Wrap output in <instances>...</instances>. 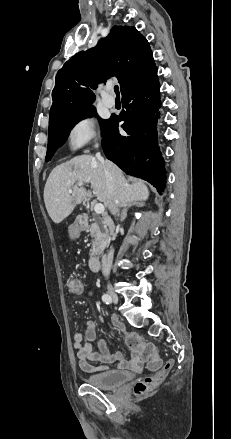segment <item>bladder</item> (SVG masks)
Here are the masks:
<instances>
[{"label":"bladder","instance_id":"bladder-1","mask_svg":"<svg viewBox=\"0 0 231 439\" xmlns=\"http://www.w3.org/2000/svg\"><path fill=\"white\" fill-rule=\"evenodd\" d=\"M133 378V373L126 371L108 370L88 374L85 381L99 389H115Z\"/></svg>","mask_w":231,"mask_h":439}]
</instances>
